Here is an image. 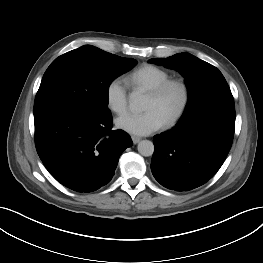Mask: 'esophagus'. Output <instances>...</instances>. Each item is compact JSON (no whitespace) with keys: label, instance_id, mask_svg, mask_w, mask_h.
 Here are the masks:
<instances>
[{"label":"esophagus","instance_id":"1","mask_svg":"<svg viewBox=\"0 0 263 263\" xmlns=\"http://www.w3.org/2000/svg\"><path fill=\"white\" fill-rule=\"evenodd\" d=\"M131 138L134 144H137L141 140V138L138 136H132Z\"/></svg>","mask_w":263,"mask_h":263}]
</instances>
